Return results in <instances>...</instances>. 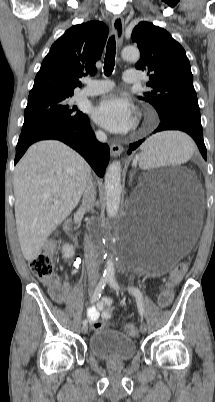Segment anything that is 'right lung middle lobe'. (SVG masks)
<instances>
[{"label":"right lung middle lobe","mask_w":215,"mask_h":402,"mask_svg":"<svg viewBox=\"0 0 215 402\" xmlns=\"http://www.w3.org/2000/svg\"><path fill=\"white\" fill-rule=\"evenodd\" d=\"M71 96L44 94L28 97L17 145L26 144L41 134L80 121L85 115L70 103Z\"/></svg>","instance_id":"dd1d6c3e"}]
</instances>
